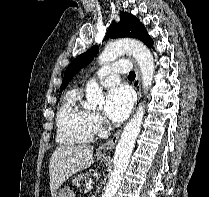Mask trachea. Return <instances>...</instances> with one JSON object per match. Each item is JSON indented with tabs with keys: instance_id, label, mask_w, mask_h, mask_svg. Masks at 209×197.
Masks as SVG:
<instances>
[{
	"instance_id": "3493384b",
	"label": "trachea",
	"mask_w": 209,
	"mask_h": 197,
	"mask_svg": "<svg viewBox=\"0 0 209 197\" xmlns=\"http://www.w3.org/2000/svg\"><path fill=\"white\" fill-rule=\"evenodd\" d=\"M135 73L133 72V71H131L130 73H129V78L130 79H134L135 78Z\"/></svg>"
}]
</instances>
